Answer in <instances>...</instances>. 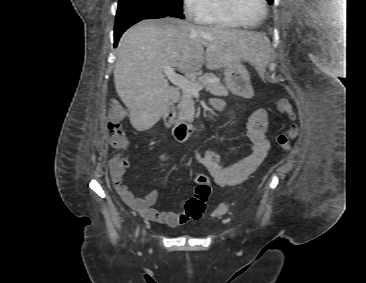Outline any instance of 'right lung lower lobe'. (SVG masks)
Segmentation results:
<instances>
[{
  "mask_svg": "<svg viewBox=\"0 0 366 283\" xmlns=\"http://www.w3.org/2000/svg\"><path fill=\"white\" fill-rule=\"evenodd\" d=\"M168 15L153 12V11H143L138 13L124 14L116 16L115 28H114V46H117L118 40L124 31L129 28L131 25L150 18H163Z\"/></svg>",
  "mask_w": 366,
  "mask_h": 283,
  "instance_id": "98d812e1",
  "label": "right lung lower lobe"
}]
</instances>
